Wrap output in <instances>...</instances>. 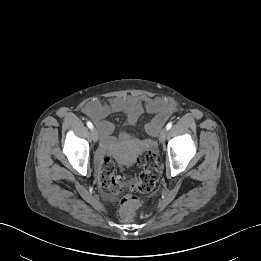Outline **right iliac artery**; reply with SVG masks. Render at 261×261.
I'll use <instances>...</instances> for the list:
<instances>
[{"instance_id": "right-iliac-artery-1", "label": "right iliac artery", "mask_w": 261, "mask_h": 261, "mask_svg": "<svg viewBox=\"0 0 261 261\" xmlns=\"http://www.w3.org/2000/svg\"><path fill=\"white\" fill-rule=\"evenodd\" d=\"M87 126L88 128L92 129L93 128V124L90 121H87Z\"/></svg>"}]
</instances>
